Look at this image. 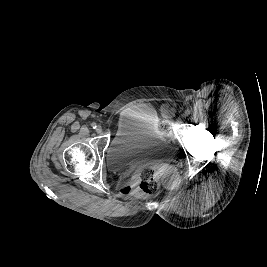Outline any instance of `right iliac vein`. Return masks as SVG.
Returning a JSON list of instances; mask_svg holds the SVG:
<instances>
[{"label":"right iliac vein","mask_w":267,"mask_h":267,"mask_svg":"<svg viewBox=\"0 0 267 267\" xmlns=\"http://www.w3.org/2000/svg\"><path fill=\"white\" fill-rule=\"evenodd\" d=\"M96 132L99 134L102 132V127L100 125L96 127Z\"/></svg>","instance_id":"right-iliac-vein-1"}]
</instances>
